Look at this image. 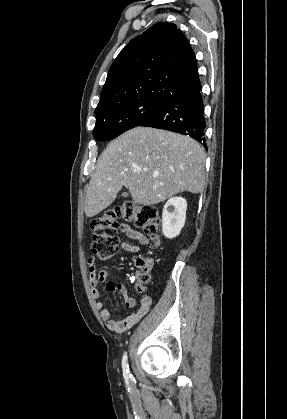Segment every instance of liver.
<instances>
[{
    "label": "liver",
    "mask_w": 287,
    "mask_h": 419,
    "mask_svg": "<svg viewBox=\"0 0 287 419\" xmlns=\"http://www.w3.org/2000/svg\"><path fill=\"white\" fill-rule=\"evenodd\" d=\"M205 152L194 139L136 127L111 141L97 160L84 211L91 218L110 206L126 187L137 204L149 206L180 192L201 193Z\"/></svg>",
    "instance_id": "liver-1"
}]
</instances>
